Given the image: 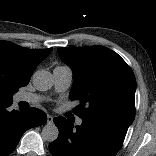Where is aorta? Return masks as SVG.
Wrapping results in <instances>:
<instances>
[{
	"mask_svg": "<svg viewBox=\"0 0 156 156\" xmlns=\"http://www.w3.org/2000/svg\"><path fill=\"white\" fill-rule=\"evenodd\" d=\"M33 85L38 91H47L53 85L52 74L45 70L36 71L32 77ZM42 138L54 142L59 135V130L54 123L46 124L42 129Z\"/></svg>",
	"mask_w": 156,
	"mask_h": 156,
	"instance_id": "762f6f07",
	"label": "aorta"
}]
</instances>
